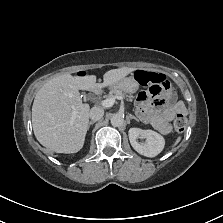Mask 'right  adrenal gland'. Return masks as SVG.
Masks as SVG:
<instances>
[{"label":"right adrenal gland","instance_id":"right-adrenal-gland-1","mask_svg":"<svg viewBox=\"0 0 223 223\" xmlns=\"http://www.w3.org/2000/svg\"><path fill=\"white\" fill-rule=\"evenodd\" d=\"M95 122H96V121H90V122L88 123L87 130H89L90 125L94 124Z\"/></svg>","mask_w":223,"mask_h":223}]
</instances>
